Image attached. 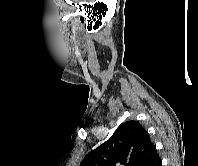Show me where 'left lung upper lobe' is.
Listing matches in <instances>:
<instances>
[{
    "label": "left lung upper lobe",
    "instance_id": "1",
    "mask_svg": "<svg viewBox=\"0 0 198 166\" xmlns=\"http://www.w3.org/2000/svg\"><path fill=\"white\" fill-rule=\"evenodd\" d=\"M156 154L148 132L138 122L128 121L91 151L80 166H148Z\"/></svg>",
    "mask_w": 198,
    "mask_h": 166
}]
</instances>
